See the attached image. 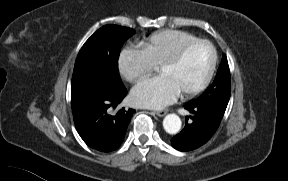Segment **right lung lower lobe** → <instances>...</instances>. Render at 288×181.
Wrapping results in <instances>:
<instances>
[{"label":"right lung lower lobe","instance_id":"98d812e1","mask_svg":"<svg viewBox=\"0 0 288 181\" xmlns=\"http://www.w3.org/2000/svg\"><path fill=\"white\" fill-rule=\"evenodd\" d=\"M126 94V88L117 92L105 88L94 91L80 117L74 121L79 135L88 146L101 152H111L122 144L135 110L122 108L116 115H110L108 108L120 103Z\"/></svg>","mask_w":288,"mask_h":181}]
</instances>
